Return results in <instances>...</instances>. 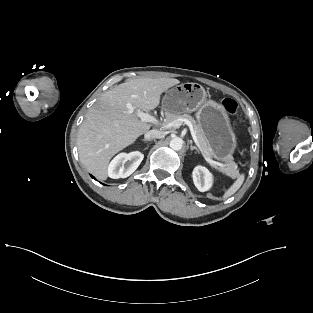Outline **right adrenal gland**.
Returning <instances> with one entry per match:
<instances>
[{
    "label": "right adrenal gland",
    "instance_id": "1",
    "mask_svg": "<svg viewBox=\"0 0 313 313\" xmlns=\"http://www.w3.org/2000/svg\"><path fill=\"white\" fill-rule=\"evenodd\" d=\"M143 141H145V142H146L147 140H146V139H143Z\"/></svg>",
    "mask_w": 313,
    "mask_h": 313
}]
</instances>
